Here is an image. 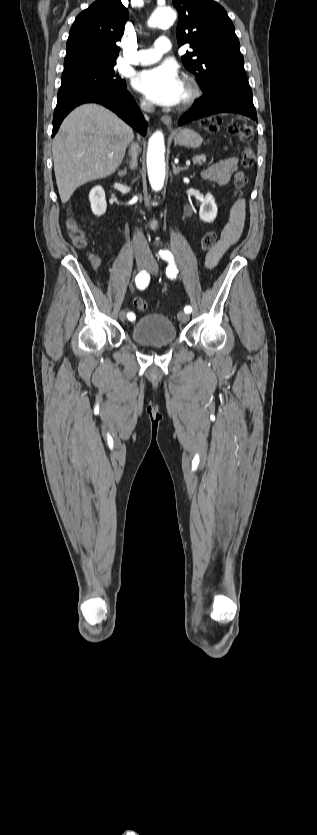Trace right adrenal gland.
I'll use <instances>...</instances> for the list:
<instances>
[{
	"label": "right adrenal gland",
	"instance_id": "1",
	"mask_svg": "<svg viewBox=\"0 0 317 835\" xmlns=\"http://www.w3.org/2000/svg\"><path fill=\"white\" fill-rule=\"evenodd\" d=\"M126 174H127L126 168L124 169V171H119L118 172V175L121 176V177L125 176Z\"/></svg>",
	"mask_w": 317,
	"mask_h": 835
}]
</instances>
